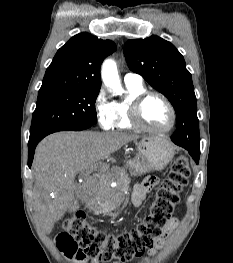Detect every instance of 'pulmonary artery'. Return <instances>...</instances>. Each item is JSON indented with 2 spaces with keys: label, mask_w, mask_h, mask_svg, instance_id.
I'll use <instances>...</instances> for the list:
<instances>
[{
  "label": "pulmonary artery",
  "mask_w": 233,
  "mask_h": 263,
  "mask_svg": "<svg viewBox=\"0 0 233 263\" xmlns=\"http://www.w3.org/2000/svg\"><path fill=\"white\" fill-rule=\"evenodd\" d=\"M125 83H135V84H142V77L135 73H127L124 76Z\"/></svg>",
  "instance_id": "e3ab8cb5"
}]
</instances>
